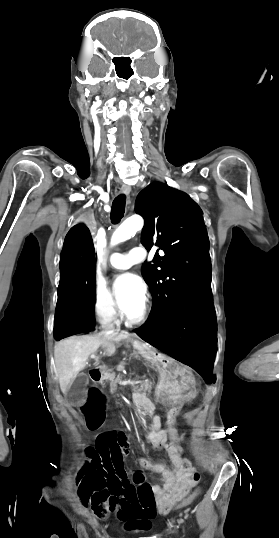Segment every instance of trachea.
Masks as SVG:
<instances>
[{
    "mask_svg": "<svg viewBox=\"0 0 279 538\" xmlns=\"http://www.w3.org/2000/svg\"><path fill=\"white\" fill-rule=\"evenodd\" d=\"M125 206H126L125 195L124 194L118 195L112 203V208H111V213H110V218L113 224H117L121 221L125 213Z\"/></svg>",
    "mask_w": 279,
    "mask_h": 538,
    "instance_id": "1",
    "label": "trachea"
}]
</instances>
